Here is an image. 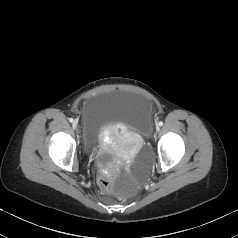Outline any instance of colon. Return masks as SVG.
I'll use <instances>...</instances> for the list:
<instances>
[{
  "label": "colon",
  "instance_id": "colon-1",
  "mask_svg": "<svg viewBox=\"0 0 238 238\" xmlns=\"http://www.w3.org/2000/svg\"><path fill=\"white\" fill-rule=\"evenodd\" d=\"M100 185L104 190L109 191L113 186V179L111 177L104 176L100 179Z\"/></svg>",
  "mask_w": 238,
  "mask_h": 238
}]
</instances>
